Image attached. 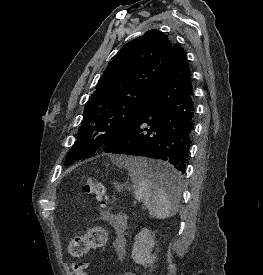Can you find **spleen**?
<instances>
[{
    "label": "spleen",
    "mask_w": 263,
    "mask_h": 275,
    "mask_svg": "<svg viewBox=\"0 0 263 275\" xmlns=\"http://www.w3.org/2000/svg\"><path fill=\"white\" fill-rule=\"evenodd\" d=\"M121 164L128 170L134 184L135 199L144 203L152 218L161 220L175 214L180 195L179 184L172 191L175 195L172 198L146 174V170L152 168L168 170L171 167L170 164L140 157L126 158Z\"/></svg>",
    "instance_id": "3e777b00"
}]
</instances>
